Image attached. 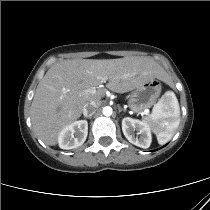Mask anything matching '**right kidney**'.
<instances>
[{
	"label": "right kidney",
	"mask_w": 210,
	"mask_h": 210,
	"mask_svg": "<svg viewBox=\"0 0 210 210\" xmlns=\"http://www.w3.org/2000/svg\"><path fill=\"white\" fill-rule=\"evenodd\" d=\"M87 134L88 122L75 121L61 130L58 136L59 147L66 150L77 148L85 142Z\"/></svg>",
	"instance_id": "1"
}]
</instances>
